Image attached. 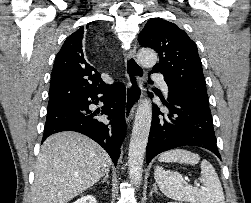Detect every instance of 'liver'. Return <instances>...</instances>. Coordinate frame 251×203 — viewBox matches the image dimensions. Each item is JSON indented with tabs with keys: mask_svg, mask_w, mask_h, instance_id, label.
<instances>
[{
	"mask_svg": "<svg viewBox=\"0 0 251 203\" xmlns=\"http://www.w3.org/2000/svg\"><path fill=\"white\" fill-rule=\"evenodd\" d=\"M111 163L106 151L82 134L48 137L35 166L32 203H68L105 176Z\"/></svg>",
	"mask_w": 251,
	"mask_h": 203,
	"instance_id": "6515ba94",
	"label": "liver"
}]
</instances>
